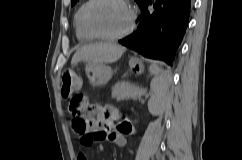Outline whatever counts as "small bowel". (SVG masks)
<instances>
[{"label": "small bowel", "mask_w": 242, "mask_h": 160, "mask_svg": "<svg viewBox=\"0 0 242 160\" xmlns=\"http://www.w3.org/2000/svg\"><path fill=\"white\" fill-rule=\"evenodd\" d=\"M105 120H95L93 121V127L97 131H102L107 141L114 143L118 146H125L126 139L123 131L119 130L117 125L118 121L112 113L104 114ZM73 127V125H72ZM101 138V139H103ZM78 160H87L85 154L81 153L78 156Z\"/></svg>", "instance_id": "c3829d8e"}]
</instances>
